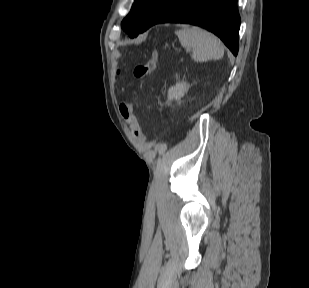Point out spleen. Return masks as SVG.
I'll list each match as a JSON object with an SVG mask.
<instances>
[{"label": "spleen", "instance_id": "spleen-1", "mask_svg": "<svg viewBox=\"0 0 309 288\" xmlns=\"http://www.w3.org/2000/svg\"><path fill=\"white\" fill-rule=\"evenodd\" d=\"M183 47L192 48V58L198 62L219 60L224 55L221 41L213 34L198 27L176 31Z\"/></svg>", "mask_w": 309, "mask_h": 288}]
</instances>
